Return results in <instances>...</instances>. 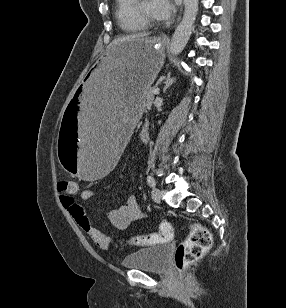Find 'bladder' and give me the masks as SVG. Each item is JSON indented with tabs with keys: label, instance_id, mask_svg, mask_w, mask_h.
<instances>
[{
	"label": "bladder",
	"instance_id": "obj_1",
	"mask_svg": "<svg viewBox=\"0 0 286 308\" xmlns=\"http://www.w3.org/2000/svg\"><path fill=\"white\" fill-rule=\"evenodd\" d=\"M167 262L168 246L161 244L132 252L123 259L122 265L128 269L163 272Z\"/></svg>",
	"mask_w": 286,
	"mask_h": 308
}]
</instances>
